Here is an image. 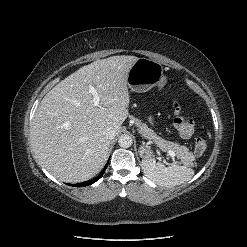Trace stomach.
<instances>
[{
  "label": "stomach",
  "mask_w": 247,
  "mask_h": 247,
  "mask_svg": "<svg viewBox=\"0 0 247 247\" xmlns=\"http://www.w3.org/2000/svg\"><path fill=\"white\" fill-rule=\"evenodd\" d=\"M167 84V77L163 73V66L152 59L139 58L131 67L128 77V87L138 93L146 92L153 87L162 89ZM143 157L149 158L152 153L149 149L141 148Z\"/></svg>",
  "instance_id": "stomach-1"
}]
</instances>
